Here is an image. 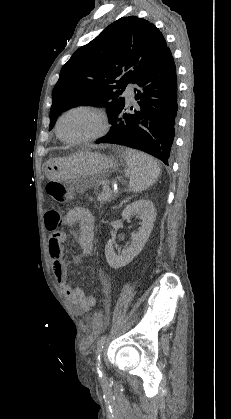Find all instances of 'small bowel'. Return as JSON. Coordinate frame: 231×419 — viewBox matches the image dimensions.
Instances as JSON below:
<instances>
[{
  "label": "small bowel",
  "mask_w": 231,
  "mask_h": 419,
  "mask_svg": "<svg viewBox=\"0 0 231 419\" xmlns=\"http://www.w3.org/2000/svg\"><path fill=\"white\" fill-rule=\"evenodd\" d=\"M46 227L52 231L49 240V256L52 264L53 274L57 283L62 287L65 295L76 308L80 315L89 313L96 306V298L88 295L79 287H72L68 282L67 264L63 256V244L66 241V234L56 229L60 225H79L76 241L84 254H90L93 249L94 217L84 208L70 209L64 216L58 213H47L44 218ZM81 260V257L76 259ZM104 288L110 292L109 284L104 281Z\"/></svg>",
  "instance_id": "small-bowel-1"
}]
</instances>
